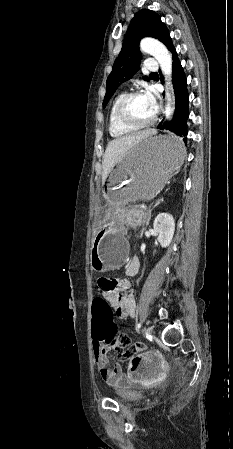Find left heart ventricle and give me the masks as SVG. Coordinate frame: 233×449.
<instances>
[{"mask_svg": "<svg viewBox=\"0 0 233 449\" xmlns=\"http://www.w3.org/2000/svg\"><path fill=\"white\" fill-rule=\"evenodd\" d=\"M126 112L137 122L148 121L155 113L144 94L132 98L127 103Z\"/></svg>", "mask_w": 233, "mask_h": 449, "instance_id": "left-heart-ventricle-1", "label": "left heart ventricle"}]
</instances>
